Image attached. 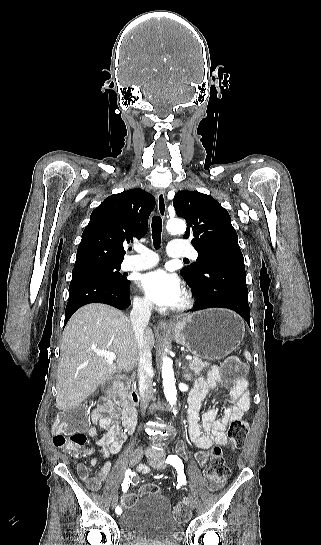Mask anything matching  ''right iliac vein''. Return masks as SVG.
Wrapping results in <instances>:
<instances>
[{
    "label": "right iliac vein",
    "mask_w": 321,
    "mask_h": 545,
    "mask_svg": "<svg viewBox=\"0 0 321 545\" xmlns=\"http://www.w3.org/2000/svg\"><path fill=\"white\" fill-rule=\"evenodd\" d=\"M142 457H143V450L141 448L135 449L131 455L130 464L132 466L136 465L141 460ZM116 504H117V495H114L111 501V507L114 508Z\"/></svg>",
    "instance_id": "1"
}]
</instances>
